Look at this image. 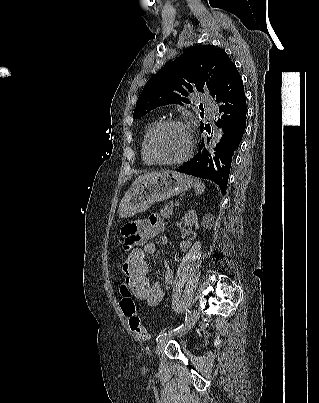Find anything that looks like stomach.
Segmentation results:
<instances>
[{
  "mask_svg": "<svg viewBox=\"0 0 319 403\" xmlns=\"http://www.w3.org/2000/svg\"><path fill=\"white\" fill-rule=\"evenodd\" d=\"M194 180L177 172H163L151 176L133 186L124 196L120 207V217H131L146 211L155 202L165 201L190 189Z\"/></svg>",
  "mask_w": 319,
  "mask_h": 403,
  "instance_id": "0dacf381",
  "label": "stomach"
}]
</instances>
